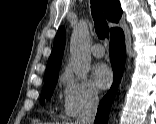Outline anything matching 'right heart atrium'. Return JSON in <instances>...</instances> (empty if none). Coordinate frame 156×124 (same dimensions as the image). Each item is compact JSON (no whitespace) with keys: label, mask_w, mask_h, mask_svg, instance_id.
<instances>
[{"label":"right heart atrium","mask_w":156,"mask_h":124,"mask_svg":"<svg viewBox=\"0 0 156 124\" xmlns=\"http://www.w3.org/2000/svg\"><path fill=\"white\" fill-rule=\"evenodd\" d=\"M61 82L65 116L76 118L97 106L99 94L93 83L75 79L68 70L63 72Z\"/></svg>","instance_id":"d8ad5b80"}]
</instances>
